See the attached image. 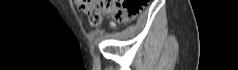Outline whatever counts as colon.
Returning <instances> with one entry per match:
<instances>
[{"instance_id":"obj_1","label":"colon","mask_w":238,"mask_h":70,"mask_svg":"<svg viewBox=\"0 0 238 70\" xmlns=\"http://www.w3.org/2000/svg\"><path fill=\"white\" fill-rule=\"evenodd\" d=\"M76 4L89 23L98 26L104 15L121 21L134 19L143 7V0H76Z\"/></svg>"}]
</instances>
